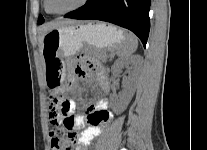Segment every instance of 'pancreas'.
Listing matches in <instances>:
<instances>
[{
	"label": "pancreas",
	"mask_w": 207,
	"mask_h": 150,
	"mask_svg": "<svg viewBox=\"0 0 207 150\" xmlns=\"http://www.w3.org/2000/svg\"><path fill=\"white\" fill-rule=\"evenodd\" d=\"M110 57V55H108L107 53L106 54H104L102 57H101V59L100 60H102V61H107V59Z\"/></svg>",
	"instance_id": "pancreas-1"
}]
</instances>
